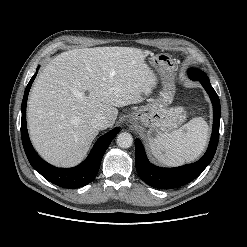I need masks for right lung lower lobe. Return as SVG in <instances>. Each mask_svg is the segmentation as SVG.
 <instances>
[{"mask_svg": "<svg viewBox=\"0 0 247 247\" xmlns=\"http://www.w3.org/2000/svg\"><path fill=\"white\" fill-rule=\"evenodd\" d=\"M38 69L39 66L37 68V71ZM36 75L37 72L33 75L25 89L21 107V137L26 156L32 167L53 184L70 189L85 186L96 177L102 157L113 138L119 133V128H114L113 130L100 137L96 141L87 159L76 167L57 168L45 162L35 152L30 142L26 126L27 98Z\"/></svg>", "mask_w": 247, "mask_h": 247, "instance_id": "1", "label": "right lung lower lobe"}]
</instances>
